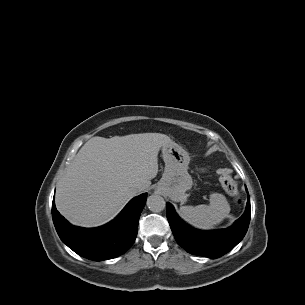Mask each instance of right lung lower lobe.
Masks as SVG:
<instances>
[{"instance_id":"obj_1","label":"right lung lower lobe","mask_w":305,"mask_h":305,"mask_svg":"<svg viewBox=\"0 0 305 305\" xmlns=\"http://www.w3.org/2000/svg\"><path fill=\"white\" fill-rule=\"evenodd\" d=\"M147 194L132 199L110 223L97 228L69 224L52 204V218L61 240L75 253L94 261L108 260L125 253L134 243L140 213Z\"/></svg>"}]
</instances>
